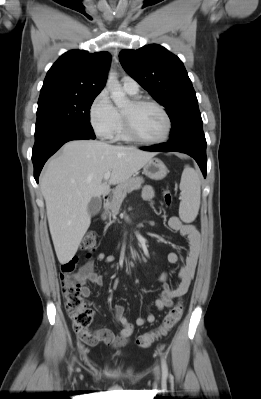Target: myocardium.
Instances as JSON below:
<instances>
[{"mask_svg":"<svg viewBox=\"0 0 261 399\" xmlns=\"http://www.w3.org/2000/svg\"><path fill=\"white\" fill-rule=\"evenodd\" d=\"M132 104L136 107L146 106V105L156 107L165 118L166 130L164 135L159 139L151 140L143 138L135 131L130 117L126 115L124 112H122L121 117H122L123 129L128 139L146 145H157L166 142L171 136L173 125L171 117L168 111L165 109V107L157 101L145 98H135L132 100Z\"/></svg>","mask_w":261,"mask_h":399,"instance_id":"f54148a6","label":"myocardium"}]
</instances>
